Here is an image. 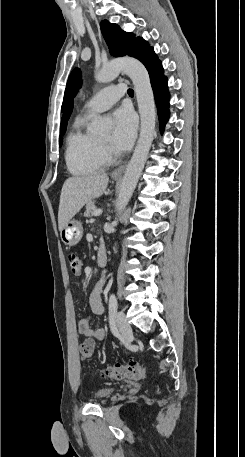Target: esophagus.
I'll return each instance as SVG.
<instances>
[{
	"mask_svg": "<svg viewBox=\"0 0 245 457\" xmlns=\"http://www.w3.org/2000/svg\"><path fill=\"white\" fill-rule=\"evenodd\" d=\"M124 170H125V164L124 165H120V167H118L115 170H113L111 175L112 176H122Z\"/></svg>",
	"mask_w": 245,
	"mask_h": 457,
	"instance_id": "34e87169",
	"label": "esophagus"
}]
</instances>
